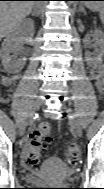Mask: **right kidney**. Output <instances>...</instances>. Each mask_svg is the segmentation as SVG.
<instances>
[{
	"mask_svg": "<svg viewBox=\"0 0 104 189\" xmlns=\"http://www.w3.org/2000/svg\"><path fill=\"white\" fill-rule=\"evenodd\" d=\"M33 31L34 22L30 19H25L14 32L4 39L0 49V59L6 72L14 74L23 69L26 59L15 60L11 54L18 49L24 37L32 35Z\"/></svg>",
	"mask_w": 104,
	"mask_h": 189,
	"instance_id": "right-kidney-1",
	"label": "right kidney"
}]
</instances>
